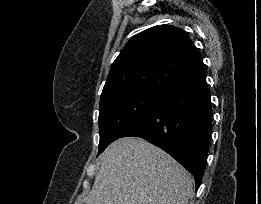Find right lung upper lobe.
<instances>
[{
	"label": "right lung upper lobe",
	"mask_w": 261,
	"mask_h": 204,
	"mask_svg": "<svg viewBox=\"0 0 261 204\" xmlns=\"http://www.w3.org/2000/svg\"><path fill=\"white\" fill-rule=\"evenodd\" d=\"M202 67V57L183 29L154 26L128 41L111 66L101 98L123 90L166 92Z\"/></svg>",
	"instance_id": "cb5924a9"
}]
</instances>
